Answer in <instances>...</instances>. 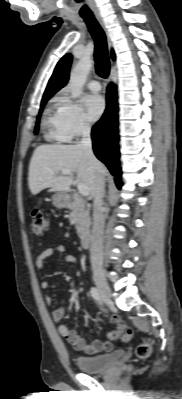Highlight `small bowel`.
Masks as SVG:
<instances>
[{
	"label": "small bowel",
	"mask_w": 182,
	"mask_h": 399,
	"mask_svg": "<svg viewBox=\"0 0 182 399\" xmlns=\"http://www.w3.org/2000/svg\"><path fill=\"white\" fill-rule=\"evenodd\" d=\"M64 253H65V247L63 245H57L54 247L47 248L44 251H42L37 257L36 267L38 269H43L46 260L55 255L63 256L62 259L66 263H71V264L77 263V259L75 256L70 254L64 255ZM41 287L43 289H47L49 287V283L47 281H42ZM45 301L48 305H52L53 303V299L49 295L45 297ZM65 316H66V311L63 307H57L52 310V318L56 322L63 321ZM110 321L113 324H115L116 327L108 334V340L105 342L94 340L91 343H87L84 340V338L81 337L76 331L68 328V326L63 323L59 325L58 330L60 335L63 338H65L74 349L79 350L86 355H96L100 352H108L112 350L113 342L119 338L122 332L124 324L118 315L116 314L111 315ZM91 331L94 332V329L91 328Z\"/></svg>",
	"instance_id": "obj_1"
}]
</instances>
